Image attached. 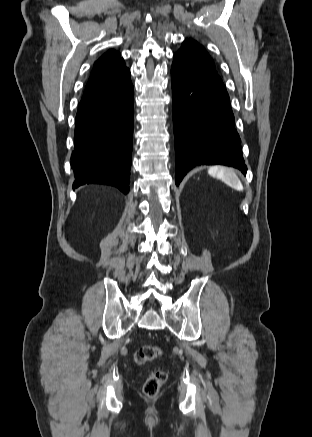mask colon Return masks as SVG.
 I'll return each instance as SVG.
<instances>
[{
    "label": "colon",
    "instance_id": "1",
    "mask_svg": "<svg viewBox=\"0 0 312 437\" xmlns=\"http://www.w3.org/2000/svg\"><path fill=\"white\" fill-rule=\"evenodd\" d=\"M162 351L156 345H144L135 352V362L138 365H144L147 362L157 360L161 357ZM167 380V373L162 370L151 372L143 386L144 394L148 397L156 396L163 384Z\"/></svg>",
    "mask_w": 312,
    "mask_h": 437
}]
</instances>
